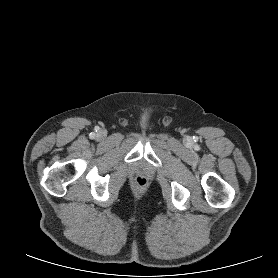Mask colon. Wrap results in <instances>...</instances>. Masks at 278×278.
<instances>
[{
  "label": "colon",
  "mask_w": 278,
  "mask_h": 278,
  "mask_svg": "<svg viewBox=\"0 0 278 278\" xmlns=\"http://www.w3.org/2000/svg\"><path fill=\"white\" fill-rule=\"evenodd\" d=\"M147 184V180L144 177H137L135 179V185L138 189H143Z\"/></svg>",
  "instance_id": "colon-1"
}]
</instances>
